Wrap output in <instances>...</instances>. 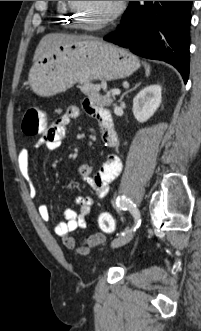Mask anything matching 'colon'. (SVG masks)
I'll list each match as a JSON object with an SVG mask.
<instances>
[{
  "mask_svg": "<svg viewBox=\"0 0 201 331\" xmlns=\"http://www.w3.org/2000/svg\"><path fill=\"white\" fill-rule=\"evenodd\" d=\"M46 115L38 106H30L27 108L22 122V130L27 136H38L44 134L47 129ZM100 229L105 233H111L115 229L113 217L106 212H103L98 217ZM105 241L103 233H96L84 240V245L91 247L102 244Z\"/></svg>",
  "mask_w": 201,
  "mask_h": 331,
  "instance_id": "obj_1",
  "label": "colon"
}]
</instances>
